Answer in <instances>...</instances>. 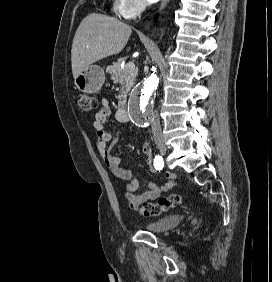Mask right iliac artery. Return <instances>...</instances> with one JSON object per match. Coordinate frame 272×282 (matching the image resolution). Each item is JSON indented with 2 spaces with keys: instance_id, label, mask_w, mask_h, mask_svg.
<instances>
[{
  "instance_id": "obj_1",
  "label": "right iliac artery",
  "mask_w": 272,
  "mask_h": 282,
  "mask_svg": "<svg viewBox=\"0 0 272 282\" xmlns=\"http://www.w3.org/2000/svg\"><path fill=\"white\" fill-rule=\"evenodd\" d=\"M164 166V161H163V158L159 155H157L155 158H154V167L156 170H161Z\"/></svg>"
}]
</instances>
